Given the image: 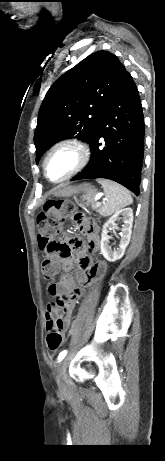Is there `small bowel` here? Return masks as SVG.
I'll return each instance as SVG.
<instances>
[{
    "mask_svg": "<svg viewBox=\"0 0 165 461\" xmlns=\"http://www.w3.org/2000/svg\"><path fill=\"white\" fill-rule=\"evenodd\" d=\"M72 214L80 229L85 232L87 250L95 252L99 247V237L93 222L86 217V209H74ZM66 244L72 245L75 251H59L50 256V261L57 271L61 268L69 272L75 263L80 271L73 274H63L58 282L48 286V292L56 298V302L48 304L45 318L46 326L62 311V330H66L72 320V315L77 302L84 294V287L91 284L94 279L104 271L103 263L92 264L86 254L83 237H66Z\"/></svg>",
    "mask_w": 165,
    "mask_h": 461,
    "instance_id": "1",
    "label": "small bowel"
}]
</instances>
